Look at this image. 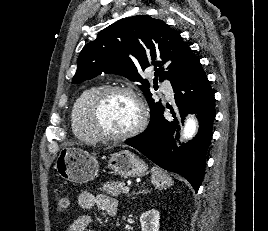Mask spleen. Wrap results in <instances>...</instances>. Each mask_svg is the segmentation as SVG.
I'll use <instances>...</instances> for the list:
<instances>
[{"label":"spleen","instance_id":"3e777b00","mask_svg":"<svg viewBox=\"0 0 268 231\" xmlns=\"http://www.w3.org/2000/svg\"><path fill=\"white\" fill-rule=\"evenodd\" d=\"M151 182L156 188H167L173 185V180L161 168L152 167Z\"/></svg>","mask_w":268,"mask_h":231}]
</instances>
